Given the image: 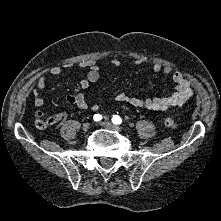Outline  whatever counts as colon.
<instances>
[{
  "label": "colon",
  "instance_id": "obj_1",
  "mask_svg": "<svg viewBox=\"0 0 221 221\" xmlns=\"http://www.w3.org/2000/svg\"><path fill=\"white\" fill-rule=\"evenodd\" d=\"M57 119L55 117L42 118L37 121V127L40 129H44L49 125L55 123ZM164 126L166 128L172 129L176 126V120L173 116H167L164 119Z\"/></svg>",
  "mask_w": 221,
  "mask_h": 221
}]
</instances>
